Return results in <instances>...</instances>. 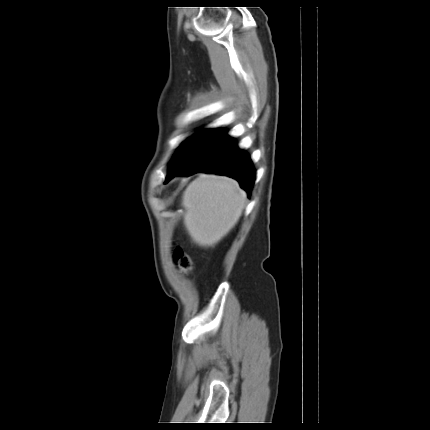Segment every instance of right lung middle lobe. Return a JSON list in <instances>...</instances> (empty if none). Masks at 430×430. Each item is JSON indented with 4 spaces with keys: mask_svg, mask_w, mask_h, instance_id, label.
Masks as SVG:
<instances>
[{
    "mask_svg": "<svg viewBox=\"0 0 430 430\" xmlns=\"http://www.w3.org/2000/svg\"><path fill=\"white\" fill-rule=\"evenodd\" d=\"M226 133L227 131L224 129L203 130L184 141L169 164L168 175L195 160L199 155L223 139Z\"/></svg>",
    "mask_w": 430,
    "mask_h": 430,
    "instance_id": "dd1d6c3e",
    "label": "right lung middle lobe"
}]
</instances>
